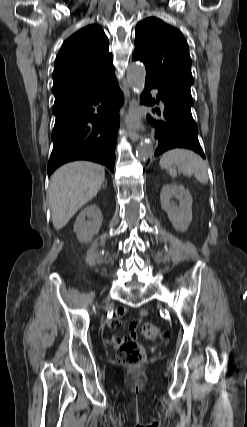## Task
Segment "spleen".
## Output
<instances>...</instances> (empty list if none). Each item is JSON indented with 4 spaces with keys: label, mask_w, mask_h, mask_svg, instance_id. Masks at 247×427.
<instances>
[{
    "label": "spleen",
    "mask_w": 247,
    "mask_h": 427,
    "mask_svg": "<svg viewBox=\"0 0 247 427\" xmlns=\"http://www.w3.org/2000/svg\"><path fill=\"white\" fill-rule=\"evenodd\" d=\"M175 165L181 166V171L185 176L194 175L202 184L208 182V166L205 161L193 151L176 148L164 153L160 159V166L169 170L170 176L172 177L177 176Z\"/></svg>",
    "instance_id": "obj_1"
}]
</instances>
